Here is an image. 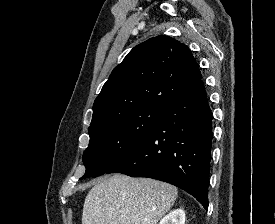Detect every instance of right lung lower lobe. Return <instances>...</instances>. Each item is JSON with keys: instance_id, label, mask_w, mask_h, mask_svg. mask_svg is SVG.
Masks as SVG:
<instances>
[{"instance_id": "obj_1", "label": "right lung lower lobe", "mask_w": 275, "mask_h": 224, "mask_svg": "<svg viewBox=\"0 0 275 224\" xmlns=\"http://www.w3.org/2000/svg\"><path fill=\"white\" fill-rule=\"evenodd\" d=\"M212 119L200 80L168 107L150 134L107 173L170 183L190 193L207 210Z\"/></svg>"}]
</instances>
